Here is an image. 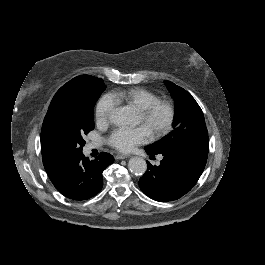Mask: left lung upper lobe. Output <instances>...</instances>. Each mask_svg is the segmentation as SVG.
<instances>
[{
	"label": "left lung upper lobe",
	"mask_w": 265,
	"mask_h": 265,
	"mask_svg": "<svg viewBox=\"0 0 265 265\" xmlns=\"http://www.w3.org/2000/svg\"><path fill=\"white\" fill-rule=\"evenodd\" d=\"M164 83L175 100L173 130L161 140L146 146L145 150L159 154L189 145L208 147L209 139L203 112L195 99L174 83Z\"/></svg>",
	"instance_id": "1"
}]
</instances>
